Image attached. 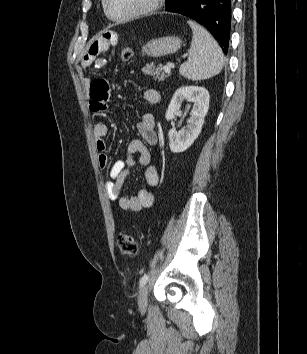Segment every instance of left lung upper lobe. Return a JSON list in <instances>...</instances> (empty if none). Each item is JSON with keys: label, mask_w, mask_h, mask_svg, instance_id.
Returning a JSON list of instances; mask_svg holds the SVG:
<instances>
[{"label": "left lung upper lobe", "mask_w": 307, "mask_h": 354, "mask_svg": "<svg viewBox=\"0 0 307 354\" xmlns=\"http://www.w3.org/2000/svg\"><path fill=\"white\" fill-rule=\"evenodd\" d=\"M170 2H171V0H166L165 5L167 6Z\"/></svg>", "instance_id": "5c2ea615"}]
</instances>
